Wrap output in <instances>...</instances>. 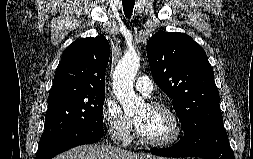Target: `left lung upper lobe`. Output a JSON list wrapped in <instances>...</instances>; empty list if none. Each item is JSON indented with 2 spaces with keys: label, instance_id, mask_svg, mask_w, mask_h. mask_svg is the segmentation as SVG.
Returning a JSON list of instances; mask_svg holds the SVG:
<instances>
[{
  "label": "left lung upper lobe",
  "instance_id": "5c2ea615",
  "mask_svg": "<svg viewBox=\"0 0 253 159\" xmlns=\"http://www.w3.org/2000/svg\"><path fill=\"white\" fill-rule=\"evenodd\" d=\"M147 56L155 82L173 100L184 136L222 120L213 69L190 36L160 30L147 42Z\"/></svg>",
  "mask_w": 253,
  "mask_h": 159
}]
</instances>
